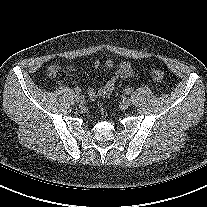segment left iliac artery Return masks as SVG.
Returning <instances> with one entry per match:
<instances>
[{
    "mask_svg": "<svg viewBox=\"0 0 207 207\" xmlns=\"http://www.w3.org/2000/svg\"><path fill=\"white\" fill-rule=\"evenodd\" d=\"M132 92V90L130 89V88H127L126 90H125V93L126 94H130Z\"/></svg>",
    "mask_w": 207,
    "mask_h": 207,
    "instance_id": "1",
    "label": "left iliac artery"
}]
</instances>
